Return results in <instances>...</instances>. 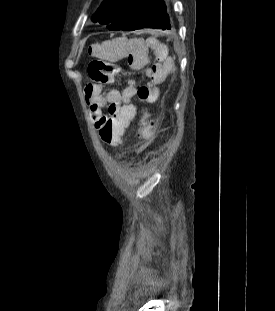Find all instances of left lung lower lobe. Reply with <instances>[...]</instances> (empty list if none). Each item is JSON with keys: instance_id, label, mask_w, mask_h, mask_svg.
<instances>
[{"instance_id": "obj_1", "label": "left lung lower lobe", "mask_w": 275, "mask_h": 311, "mask_svg": "<svg viewBox=\"0 0 275 311\" xmlns=\"http://www.w3.org/2000/svg\"><path fill=\"white\" fill-rule=\"evenodd\" d=\"M145 28L160 30H170L172 28L163 0H146L138 7L129 23L121 30L134 31Z\"/></svg>"}]
</instances>
